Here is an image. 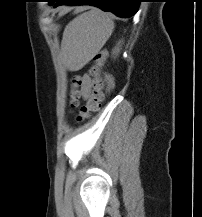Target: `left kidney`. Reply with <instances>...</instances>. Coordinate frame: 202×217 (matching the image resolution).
Here are the masks:
<instances>
[{
	"label": "left kidney",
	"instance_id": "1",
	"mask_svg": "<svg viewBox=\"0 0 202 217\" xmlns=\"http://www.w3.org/2000/svg\"><path fill=\"white\" fill-rule=\"evenodd\" d=\"M118 52H119V49L118 48H115L114 50H113V55H117L118 54Z\"/></svg>",
	"mask_w": 202,
	"mask_h": 217
}]
</instances>
